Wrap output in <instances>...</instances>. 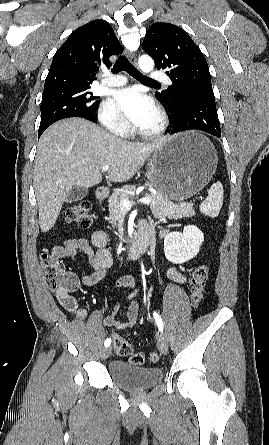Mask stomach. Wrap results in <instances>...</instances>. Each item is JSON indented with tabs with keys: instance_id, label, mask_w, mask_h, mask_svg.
I'll return each instance as SVG.
<instances>
[{
	"instance_id": "1",
	"label": "stomach",
	"mask_w": 269,
	"mask_h": 445,
	"mask_svg": "<svg viewBox=\"0 0 269 445\" xmlns=\"http://www.w3.org/2000/svg\"><path fill=\"white\" fill-rule=\"evenodd\" d=\"M217 152L194 131L171 136L147 159V177L168 200L184 201L197 194L213 177Z\"/></svg>"
}]
</instances>
